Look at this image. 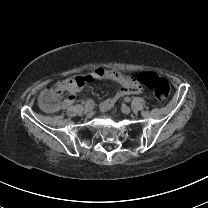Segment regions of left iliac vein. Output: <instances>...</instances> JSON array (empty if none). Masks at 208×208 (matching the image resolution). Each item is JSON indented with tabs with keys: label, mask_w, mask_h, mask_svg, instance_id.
<instances>
[{
	"label": "left iliac vein",
	"mask_w": 208,
	"mask_h": 208,
	"mask_svg": "<svg viewBox=\"0 0 208 208\" xmlns=\"http://www.w3.org/2000/svg\"><path fill=\"white\" fill-rule=\"evenodd\" d=\"M121 110L124 114H129L131 112L130 107H128L127 105H122Z\"/></svg>",
	"instance_id": "left-iliac-vein-1"
}]
</instances>
